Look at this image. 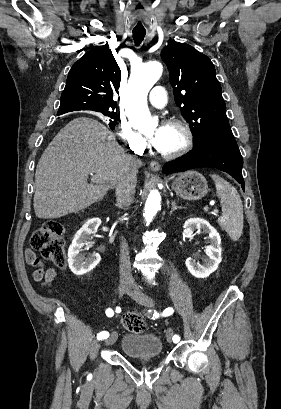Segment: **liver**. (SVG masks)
I'll use <instances>...</instances> for the list:
<instances>
[{
    "mask_svg": "<svg viewBox=\"0 0 281 409\" xmlns=\"http://www.w3.org/2000/svg\"><path fill=\"white\" fill-rule=\"evenodd\" d=\"M127 158L131 154L105 124L88 116L73 118L57 132L36 166V217L58 219L102 200L120 180ZM133 170L137 174V166Z\"/></svg>",
    "mask_w": 281,
    "mask_h": 409,
    "instance_id": "1",
    "label": "liver"
}]
</instances>
